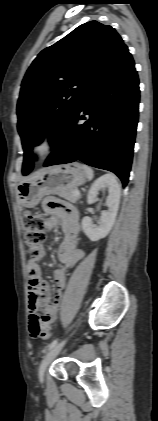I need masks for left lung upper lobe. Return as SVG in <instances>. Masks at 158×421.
Returning <instances> with one entry per match:
<instances>
[{
	"mask_svg": "<svg viewBox=\"0 0 158 421\" xmlns=\"http://www.w3.org/2000/svg\"><path fill=\"white\" fill-rule=\"evenodd\" d=\"M123 45L114 28L90 21L36 57L22 81L17 104L23 175L32 170L33 146L46 133L53 146L91 84Z\"/></svg>",
	"mask_w": 158,
	"mask_h": 421,
	"instance_id": "1",
	"label": "left lung upper lobe"
}]
</instances>
